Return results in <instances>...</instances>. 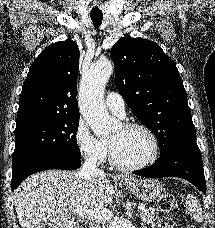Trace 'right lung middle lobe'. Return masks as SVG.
<instances>
[{
  "mask_svg": "<svg viewBox=\"0 0 215 228\" xmlns=\"http://www.w3.org/2000/svg\"><path fill=\"white\" fill-rule=\"evenodd\" d=\"M79 117L39 119L16 124L12 164L38 154L80 158L76 141Z\"/></svg>",
  "mask_w": 215,
  "mask_h": 228,
  "instance_id": "obj_1",
  "label": "right lung middle lobe"
}]
</instances>
